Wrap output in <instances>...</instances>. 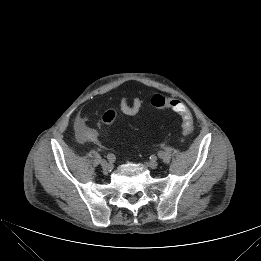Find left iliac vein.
Instances as JSON below:
<instances>
[{
  "instance_id": "left-iliac-vein-1",
  "label": "left iliac vein",
  "mask_w": 261,
  "mask_h": 261,
  "mask_svg": "<svg viewBox=\"0 0 261 261\" xmlns=\"http://www.w3.org/2000/svg\"><path fill=\"white\" fill-rule=\"evenodd\" d=\"M147 165L148 167L155 169L158 166V162L156 160H151Z\"/></svg>"
}]
</instances>
